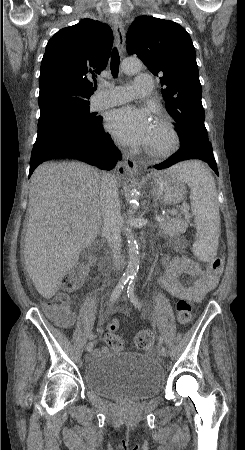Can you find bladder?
Returning <instances> with one entry per match:
<instances>
[{
	"label": "bladder",
	"mask_w": 245,
	"mask_h": 450,
	"mask_svg": "<svg viewBox=\"0 0 245 450\" xmlns=\"http://www.w3.org/2000/svg\"><path fill=\"white\" fill-rule=\"evenodd\" d=\"M83 381L100 397L143 399L160 393L165 374L160 363L145 354L120 352L90 359Z\"/></svg>",
	"instance_id": "obj_1"
}]
</instances>
